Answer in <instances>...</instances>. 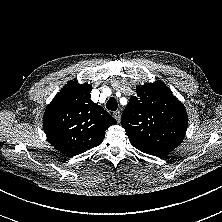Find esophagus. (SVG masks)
Here are the masks:
<instances>
[{
  "instance_id": "esophagus-1",
  "label": "esophagus",
  "mask_w": 222,
  "mask_h": 222,
  "mask_svg": "<svg viewBox=\"0 0 222 222\" xmlns=\"http://www.w3.org/2000/svg\"><path fill=\"white\" fill-rule=\"evenodd\" d=\"M113 117L117 120V122L119 123L120 121V117H121V113L120 111H116L113 113Z\"/></svg>"
}]
</instances>
